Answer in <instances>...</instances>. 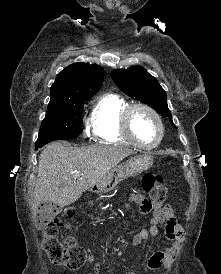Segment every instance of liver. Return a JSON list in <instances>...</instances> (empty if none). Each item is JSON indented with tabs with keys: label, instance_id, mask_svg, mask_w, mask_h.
Returning <instances> with one entry per match:
<instances>
[{
	"label": "liver",
	"instance_id": "1",
	"mask_svg": "<svg viewBox=\"0 0 221 274\" xmlns=\"http://www.w3.org/2000/svg\"><path fill=\"white\" fill-rule=\"evenodd\" d=\"M133 153L125 147L105 144L72 147L54 142L47 145L39 157L32 211L36 213L38 206L45 202L62 207L74 203ZM76 172L81 176L74 178Z\"/></svg>",
	"mask_w": 221,
	"mask_h": 274
}]
</instances>
